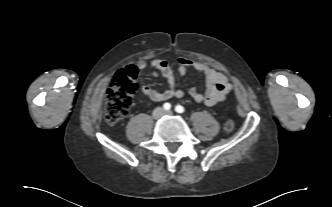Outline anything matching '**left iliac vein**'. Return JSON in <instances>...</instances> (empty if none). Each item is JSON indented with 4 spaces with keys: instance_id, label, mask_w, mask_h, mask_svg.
I'll use <instances>...</instances> for the list:
<instances>
[{
    "instance_id": "obj_1",
    "label": "left iliac vein",
    "mask_w": 332,
    "mask_h": 207,
    "mask_svg": "<svg viewBox=\"0 0 332 207\" xmlns=\"http://www.w3.org/2000/svg\"><path fill=\"white\" fill-rule=\"evenodd\" d=\"M167 115H172L173 113L171 111L166 112Z\"/></svg>"
}]
</instances>
